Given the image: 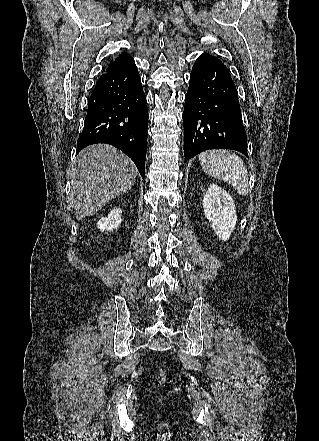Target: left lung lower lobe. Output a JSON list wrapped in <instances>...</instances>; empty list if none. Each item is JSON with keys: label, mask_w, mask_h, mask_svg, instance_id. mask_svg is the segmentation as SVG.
<instances>
[{"label": "left lung lower lobe", "mask_w": 319, "mask_h": 441, "mask_svg": "<svg viewBox=\"0 0 319 441\" xmlns=\"http://www.w3.org/2000/svg\"><path fill=\"white\" fill-rule=\"evenodd\" d=\"M185 160L209 149H232L248 157L238 93L228 68L206 53L190 75L183 112Z\"/></svg>", "instance_id": "obj_1"}]
</instances>
